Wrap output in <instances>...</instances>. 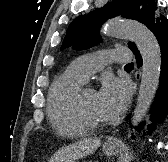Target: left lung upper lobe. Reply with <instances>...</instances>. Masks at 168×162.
<instances>
[{"instance_id":"5c2ea615","label":"left lung upper lobe","mask_w":168,"mask_h":162,"mask_svg":"<svg viewBox=\"0 0 168 162\" xmlns=\"http://www.w3.org/2000/svg\"><path fill=\"white\" fill-rule=\"evenodd\" d=\"M118 14H122L128 19L137 20L147 27L162 17L156 12L154 0H114L103 8L75 18L67 29L61 50L68 47L82 50L94 46L100 41V26ZM129 48L132 51L137 49L132 42L129 43Z\"/></svg>"}]
</instances>
